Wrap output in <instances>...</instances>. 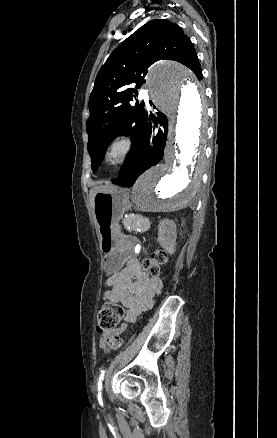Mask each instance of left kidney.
Instances as JSON below:
<instances>
[{
	"mask_svg": "<svg viewBox=\"0 0 277 438\" xmlns=\"http://www.w3.org/2000/svg\"><path fill=\"white\" fill-rule=\"evenodd\" d=\"M168 226V228H167ZM158 232V242L168 254H174L177 238V226L173 220H161Z\"/></svg>",
	"mask_w": 277,
	"mask_h": 438,
	"instance_id": "1",
	"label": "left kidney"
}]
</instances>
